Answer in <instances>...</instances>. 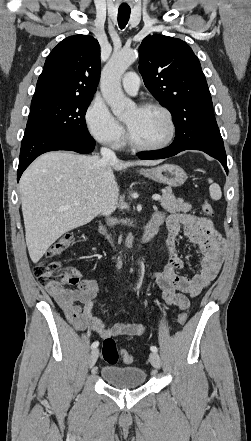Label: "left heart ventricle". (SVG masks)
Returning a JSON list of instances; mask_svg holds the SVG:
<instances>
[{
  "mask_svg": "<svg viewBox=\"0 0 251 441\" xmlns=\"http://www.w3.org/2000/svg\"><path fill=\"white\" fill-rule=\"evenodd\" d=\"M124 122L134 138L147 145L163 142L169 134L166 116L157 109L132 108L124 117Z\"/></svg>",
  "mask_w": 251,
  "mask_h": 441,
  "instance_id": "b2bd125f",
  "label": "left heart ventricle"
}]
</instances>
